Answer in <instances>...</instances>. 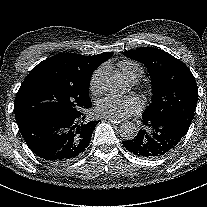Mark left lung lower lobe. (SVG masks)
I'll return each instance as SVG.
<instances>
[{"label":"left lung lower lobe","mask_w":207,"mask_h":207,"mask_svg":"<svg viewBox=\"0 0 207 207\" xmlns=\"http://www.w3.org/2000/svg\"><path fill=\"white\" fill-rule=\"evenodd\" d=\"M144 128L132 140L123 141L125 148L133 154L156 158L167 154L185 136L189 128L169 117H143Z\"/></svg>","instance_id":"left-lung-lower-lobe-1"}]
</instances>
